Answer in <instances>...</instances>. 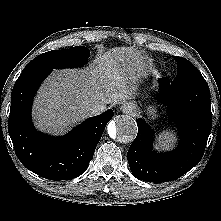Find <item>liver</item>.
I'll return each mask as SVG.
<instances>
[{"instance_id": "liver-1", "label": "liver", "mask_w": 221, "mask_h": 221, "mask_svg": "<svg viewBox=\"0 0 221 221\" xmlns=\"http://www.w3.org/2000/svg\"><path fill=\"white\" fill-rule=\"evenodd\" d=\"M149 62L133 47H115L99 54L89 67L57 71L41 86L33 119L41 131L59 135L91 117L90 106L133 99L147 75Z\"/></svg>"}]
</instances>
